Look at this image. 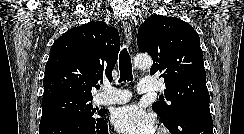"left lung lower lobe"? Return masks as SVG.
<instances>
[{
  "label": "left lung lower lobe",
  "instance_id": "obj_1",
  "mask_svg": "<svg viewBox=\"0 0 244 134\" xmlns=\"http://www.w3.org/2000/svg\"><path fill=\"white\" fill-rule=\"evenodd\" d=\"M171 134H213L210 114L185 109L178 111L169 122H163Z\"/></svg>",
  "mask_w": 244,
  "mask_h": 134
}]
</instances>
